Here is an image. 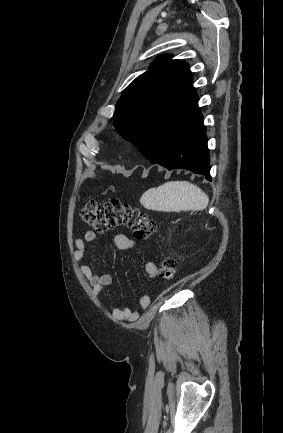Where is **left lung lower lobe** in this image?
<instances>
[{"label": "left lung lower lobe", "mask_w": 283, "mask_h": 433, "mask_svg": "<svg viewBox=\"0 0 283 433\" xmlns=\"http://www.w3.org/2000/svg\"><path fill=\"white\" fill-rule=\"evenodd\" d=\"M139 151L151 164L169 170L185 168L211 180L206 127L201 112L178 125L149 128Z\"/></svg>", "instance_id": "left-lung-lower-lobe-1"}]
</instances>
